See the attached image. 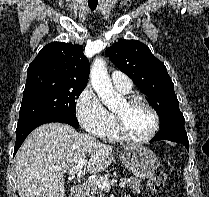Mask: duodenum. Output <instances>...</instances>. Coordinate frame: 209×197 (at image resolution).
<instances>
[{"instance_id": "duodenum-1", "label": "duodenum", "mask_w": 209, "mask_h": 197, "mask_svg": "<svg viewBox=\"0 0 209 197\" xmlns=\"http://www.w3.org/2000/svg\"><path fill=\"white\" fill-rule=\"evenodd\" d=\"M84 194V190L80 186L73 187L70 197H82Z\"/></svg>"}]
</instances>
